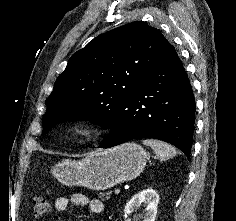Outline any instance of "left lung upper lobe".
<instances>
[{
  "instance_id": "left-lung-upper-lobe-1",
  "label": "left lung upper lobe",
  "mask_w": 236,
  "mask_h": 221,
  "mask_svg": "<svg viewBox=\"0 0 236 221\" xmlns=\"http://www.w3.org/2000/svg\"><path fill=\"white\" fill-rule=\"evenodd\" d=\"M166 41L159 30L135 21L75 52L47 100L42 134L68 120H92L110 128Z\"/></svg>"
}]
</instances>
